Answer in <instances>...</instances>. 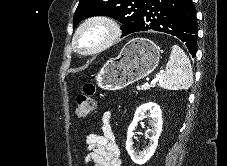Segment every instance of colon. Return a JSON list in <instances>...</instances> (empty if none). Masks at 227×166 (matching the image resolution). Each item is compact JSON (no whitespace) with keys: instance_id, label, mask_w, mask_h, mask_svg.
<instances>
[{"instance_id":"1","label":"colon","mask_w":227,"mask_h":166,"mask_svg":"<svg viewBox=\"0 0 227 166\" xmlns=\"http://www.w3.org/2000/svg\"><path fill=\"white\" fill-rule=\"evenodd\" d=\"M96 92L95 85L92 83H86L83 86L81 93L76 97L75 111L76 115L80 118H84L92 114L95 110L94 95Z\"/></svg>"}]
</instances>
